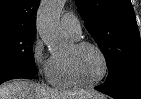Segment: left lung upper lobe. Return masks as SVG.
<instances>
[{
  "label": "left lung upper lobe",
  "instance_id": "5c2ea615",
  "mask_svg": "<svg viewBox=\"0 0 141 99\" xmlns=\"http://www.w3.org/2000/svg\"><path fill=\"white\" fill-rule=\"evenodd\" d=\"M85 26L102 50L109 74L105 82L141 74V43L130 0H76Z\"/></svg>",
  "mask_w": 141,
  "mask_h": 99
}]
</instances>
